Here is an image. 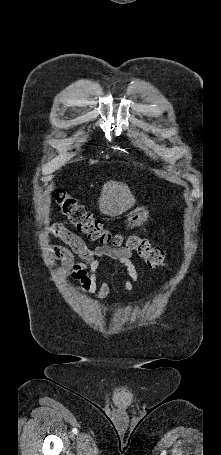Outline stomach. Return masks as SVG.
Returning a JSON list of instances; mask_svg holds the SVG:
<instances>
[{"mask_svg":"<svg viewBox=\"0 0 221 455\" xmlns=\"http://www.w3.org/2000/svg\"><path fill=\"white\" fill-rule=\"evenodd\" d=\"M148 216L149 211L144 206H138L127 214L125 220L126 226L130 228L141 226L147 221Z\"/></svg>","mask_w":221,"mask_h":455,"instance_id":"0dacf381","label":"stomach"}]
</instances>
